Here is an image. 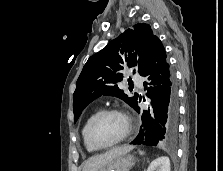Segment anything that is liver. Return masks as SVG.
Instances as JSON below:
<instances>
[{"instance_id": "liver-1", "label": "liver", "mask_w": 223, "mask_h": 171, "mask_svg": "<svg viewBox=\"0 0 223 171\" xmlns=\"http://www.w3.org/2000/svg\"><path fill=\"white\" fill-rule=\"evenodd\" d=\"M132 148V146L115 147L103 154L93 156L85 162L82 171H99L102 167L107 165L114 158L121 154L128 153L132 150Z\"/></svg>"}]
</instances>
